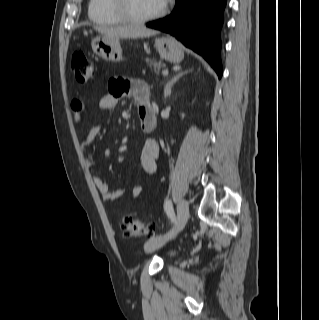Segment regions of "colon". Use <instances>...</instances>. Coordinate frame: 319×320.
Masks as SVG:
<instances>
[{
    "instance_id": "obj_1",
    "label": "colon",
    "mask_w": 319,
    "mask_h": 320,
    "mask_svg": "<svg viewBox=\"0 0 319 320\" xmlns=\"http://www.w3.org/2000/svg\"><path fill=\"white\" fill-rule=\"evenodd\" d=\"M72 69L76 80L79 83H87L94 75V65L83 51H75L72 55ZM155 226L147 224L131 215L122 219L121 230L122 236L146 237L151 238L154 235Z\"/></svg>"
}]
</instances>
